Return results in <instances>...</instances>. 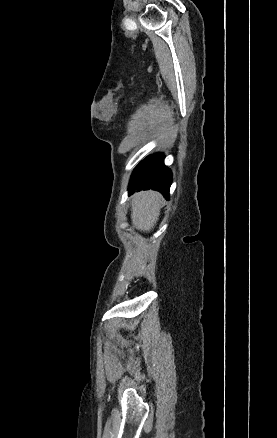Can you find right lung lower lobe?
Listing matches in <instances>:
<instances>
[{"label":"right lung lower lobe","mask_w":277,"mask_h":438,"mask_svg":"<svg viewBox=\"0 0 277 438\" xmlns=\"http://www.w3.org/2000/svg\"><path fill=\"white\" fill-rule=\"evenodd\" d=\"M164 155L157 153L148 156L135 168L130 184L129 195L135 191L153 189L169 199L172 173L163 163Z\"/></svg>","instance_id":"right-lung-lower-lobe-1"}]
</instances>
